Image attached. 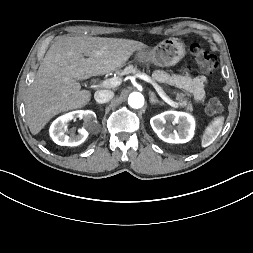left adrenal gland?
Returning a JSON list of instances; mask_svg holds the SVG:
<instances>
[{
	"label": "left adrenal gland",
	"mask_w": 253,
	"mask_h": 253,
	"mask_svg": "<svg viewBox=\"0 0 253 253\" xmlns=\"http://www.w3.org/2000/svg\"><path fill=\"white\" fill-rule=\"evenodd\" d=\"M149 95H150V103L152 104V105H154V104H160V105H163V102H160L157 98H156V96H155V94L153 93V92H149Z\"/></svg>",
	"instance_id": "a2214340"
}]
</instances>
